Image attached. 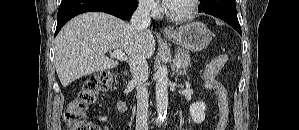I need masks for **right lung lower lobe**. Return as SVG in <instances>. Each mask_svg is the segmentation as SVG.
Returning a JSON list of instances; mask_svg holds the SVG:
<instances>
[{
  "instance_id": "right-lung-lower-lobe-1",
  "label": "right lung lower lobe",
  "mask_w": 299,
  "mask_h": 130,
  "mask_svg": "<svg viewBox=\"0 0 299 130\" xmlns=\"http://www.w3.org/2000/svg\"><path fill=\"white\" fill-rule=\"evenodd\" d=\"M136 8L137 0H62L57 14L54 37L67 21L78 14L98 11L127 20Z\"/></svg>"
}]
</instances>
